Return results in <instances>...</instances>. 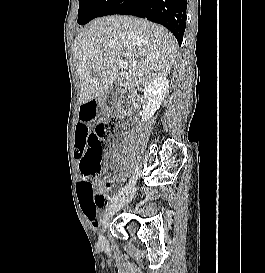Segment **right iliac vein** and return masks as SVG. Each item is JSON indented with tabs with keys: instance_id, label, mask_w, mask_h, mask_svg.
Returning <instances> with one entry per match:
<instances>
[{
	"instance_id": "right-iliac-vein-1",
	"label": "right iliac vein",
	"mask_w": 265,
	"mask_h": 273,
	"mask_svg": "<svg viewBox=\"0 0 265 273\" xmlns=\"http://www.w3.org/2000/svg\"><path fill=\"white\" fill-rule=\"evenodd\" d=\"M136 189L133 188L131 191H129L125 196H123L121 199L117 200L116 202L109 205L104 213L103 219L101 221L102 228L99 232L98 236V243L100 246H106L107 240L104 236V227L107 222V220L112 217L116 212H118L121 208H123L125 205H127L134 197Z\"/></svg>"
}]
</instances>
